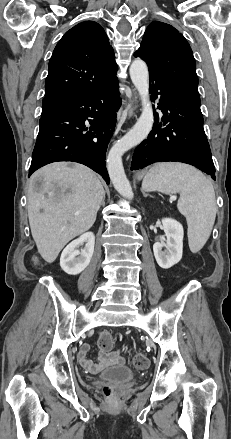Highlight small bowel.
Masks as SVG:
<instances>
[{
	"instance_id": "obj_1",
	"label": "small bowel",
	"mask_w": 231,
	"mask_h": 439,
	"mask_svg": "<svg viewBox=\"0 0 231 439\" xmlns=\"http://www.w3.org/2000/svg\"><path fill=\"white\" fill-rule=\"evenodd\" d=\"M90 347L91 346L89 344H84L81 347L78 352V360L85 369L89 370L92 373H97L104 368L123 362V358L121 357L119 352L108 353L104 350H101V352L99 353L97 362H93L87 356Z\"/></svg>"
}]
</instances>
